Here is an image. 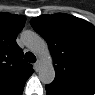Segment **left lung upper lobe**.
<instances>
[{
	"instance_id": "left-lung-upper-lobe-1",
	"label": "left lung upper lobe",
	"mask_w": 95,
	"mask_h": 95,
	"mask_svg": "<svg viewBox=\"0 0 95 95\" xmlns=\"http://www.w3.org/2000/svg\"><path fill=\"white\" fill-rule=\"evenodd\" d=\"M30 23L50 48L55 67L52 84L71 83L95 90V27L60 13L41 15Z\"/></svg>"
}]
</instances>
